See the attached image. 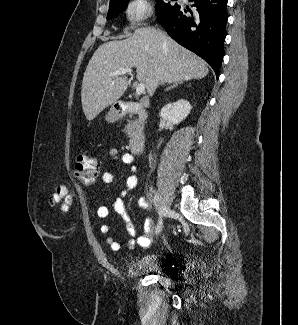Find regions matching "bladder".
I'll list each match as a JSON object with an SVG mask.
<instances>
[{"label":"bladder","mask_w":298,"mask_h":325,"mask_svg":"<svg viewBox=\"0 0 298 325\" xmlns=\"http://www.w3.org/2000/svg\"><path fill=\"white\" fill-rule=\"evenodd\" d=\"M158 258L154 255L144 256L126 265L125 273L129 277L159 274Z\"/></svg>","instance_id":"31cf9c89"}]
</instances>
